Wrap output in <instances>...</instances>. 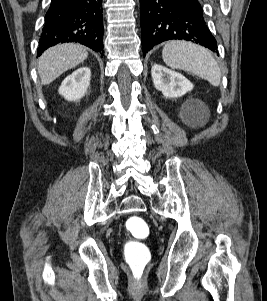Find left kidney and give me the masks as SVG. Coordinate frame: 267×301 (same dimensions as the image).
<instances>
[{
    "label": "left kidney",
    "instance_id": "5707ae66",
    "mask_svg": "<svg viewBox=\"0 0 267 301\" xmlns=\"http://www.w3.org/2000/svg\"><path fill=\"white\" fill-rule=\"evenodd\" d=\"M151 76L155 88L166 98H178L193 89V84L182 74L162 65L154 64Z\"/></svg>",
    "mask_w": 267,
    "mask_h": 301
}]
</instances>
